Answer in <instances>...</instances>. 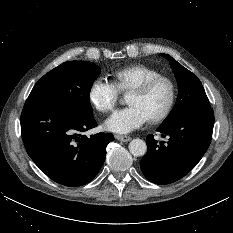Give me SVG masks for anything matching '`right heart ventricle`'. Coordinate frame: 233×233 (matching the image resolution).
I'll return each instance as SVG.
<instances>
[{"mask_svg":"<svg viewBox=\"0 0 233 233\" xmlns=\"http://www.w3.org/2000/svg\"><path fill=\"white\" fill-rule=\"evenodd\" d=\"M159 75L161 73L152 67L135 64L116 70L112 73V79L119 92H129L142 82Z\"/></svg>","mask_w":233,"mask_h":233,"instance_id":"obj_1","label":"right heart ventricle"}]
</instances>
